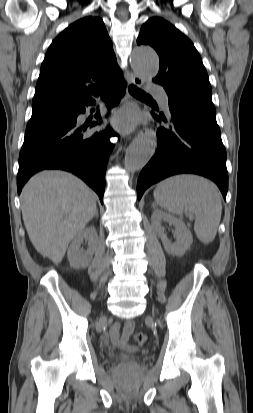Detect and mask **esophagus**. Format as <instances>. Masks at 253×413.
<instances>
[{"label": "esophagus", "mask_w": 253, "mask_h": 413, "mask_svg": "<svg viewBox=\"0 0 253 413\" xmlns=\"http://www.w3.org/2000/svg\"><path fill=\"white\" fill-rule=\"evenodd\" d=\"M131 81L133 84H135L136 86L141 87L143 85V80L137 76V75H132L131 77ZM149 132V128H147L146 126H143L141 129H139V134H144Z\"/></svg>", "instance_id": "obj_1"}]
</instances>
